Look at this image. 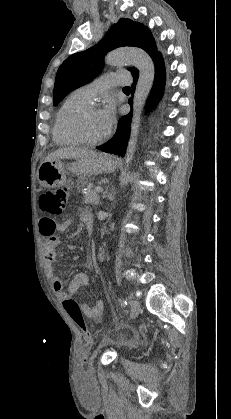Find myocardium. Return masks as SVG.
I'll use <instances>...</instances> for the list:
<instances>
[{
    "mask_svg": "<svg viewBox=\"0 0 231 419\" xmlns=\"http://www.w3.org/2000/svg\"><path fill=\"white\" fill-rule=\"evenodd\" d=\"M93 109H96V105L94 103H87L71 111L64 120V130L66 134L78 143L86 145H96L103 142L110 135V131L108 130L105 134H103L100 137L87 138L78 130L77 122L79 118L86 112Z\"/></svg>",
    "mask_w": 231,
    "mask_h": 419,
    "instance_id": "obj_1",
    "label": "myocardium"
}]
</instances>
